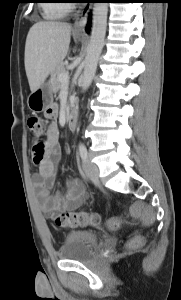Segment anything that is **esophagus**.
<instances>
[{"mask_svg": "<svg viewBox=\"0 0 181 300\" xmlns=\"http://www.w3.org/2000/svg\"><path fill=\"white\" fill-rule=\"evenodd\" d=\"M92 8L91 3L80 7L75 14V22L73 25V32L78 34H85V26L87 24L88 15Z\"/></svg>", "mask_w": 181, "mask_h": 300, "instance_id": "obj_1", "label": "esophagus"}]
</instances>
